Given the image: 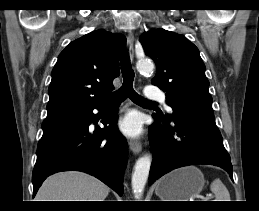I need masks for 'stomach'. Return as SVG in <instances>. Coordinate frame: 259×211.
<instances>
[{
  "instance_id": "0dacf381",
  "label": "stomach",
  "mask_w": 259,
  "mask_h": 211,
  "mask_svg": "<svg viewBox=\"0 0 259 211\" xmlns=\"http://www.w3.org/2000/svg\"><path fill=\"white\" fill-rule=\"evenodd\" d=\"M204 184L202 172L197 167L187 166L158 180L155 193L162 201H188L202 191Z\"/></svg>"
}]
</instances>
